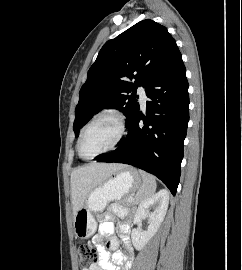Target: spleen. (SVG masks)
<instances>
[{
    "mask_svg": "<svg viewBox=\"0 0 242 270\" xmlns=\"http://www.w3.org/2000/svg\"><path fill=\"white\" fill-rule=\"evenodd\" d=\"M143 183L139 189V191L136 194L135 197V201L138 203H141L142 201H144L145 199L149 198L150 196H152L155 191H156V180L155 178L144 172V171H140Z\"/></svg>",
    "mask_w": 242,
    "mask_h": 270,
    "instance_id": "3e777b00",
    "label": "spleen"
}]
</instances>
